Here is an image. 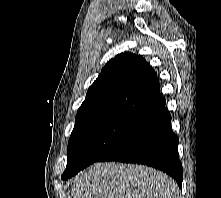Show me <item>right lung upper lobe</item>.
Returning <instances> with one entry per match:
<instances>
[{"instance_id": "cb5924a9", "label": "right lung upper lobe", "mask_w": 221, "mask_h": 198, "mask_svg": "<svg viewBox=\"0 0 221 198\" xmlns=\"http://www.w3.org/2000/svg\"><path fill=\"white\" fill-rule=\"evenodd\" d=\"M164 105L155 71L142 56L122 53L105 65L88 89L73 130L106 118L144 121Z\"/></svg>"}]
</instances>
